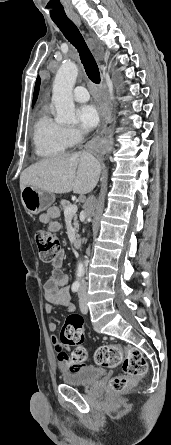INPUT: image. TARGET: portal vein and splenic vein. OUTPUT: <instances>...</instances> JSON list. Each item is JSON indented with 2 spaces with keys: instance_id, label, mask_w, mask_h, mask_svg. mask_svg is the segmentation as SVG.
Returning <instances> with one entry per match:
<instances>
[{
  "instance_id": "portal-vein-and-splenic-vein-1",
  "label": "portal vein and splenic vein",
  "mask_w": 171,
  "mask_h": 445,
  "mask_svg": "<svg viewBox=\"0 0 171 445\" xmlns=\"http://www.w3.org/2000/svg\"><path fill=\"white\" fill-rule=\"evenodd\" d=\"M77 209H78L77 205H71L70 207H68L64 210V216L65 217L74 216L77 212Z\"/></svg>"
}]
</instances>
